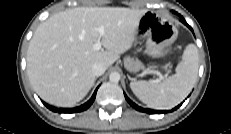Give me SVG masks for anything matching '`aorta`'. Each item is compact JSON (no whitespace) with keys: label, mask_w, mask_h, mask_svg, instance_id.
Instances as JSON below:
<instances>
[{"label":"aorta","mask_w":231,"mask_h":134,"mask_svg":"<svg viewBox=\"0 0 231 134\" xmlns=\"http://www.w3.org/2000/svg\"><path fill=\"white\" fill-rule=\"evenodd\" d=\"M109 79L111 82H118L120 80V74L118 72H112L109 75Z\"/></svg>","instance_id":"1"}]
</instances>
